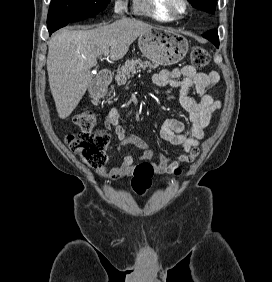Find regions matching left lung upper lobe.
Segmentation results:
<instances>
[{
    "label": "left lung upper lobe",
    "mask_w": 272,
    "mask_h": 282,
    "mask_svg": "<svg viewBox=\"0 0 272 282\" xmlns=\"http://www.w3.org/2000/svg\"><path fill=\"white\" fill-rule=\"evenodd\" d=\"M193 7L214 14L217 0H188Z\"/></svg>",
    "instance_id": "left-lung-upper-lobe-1"
}]
</instances>
